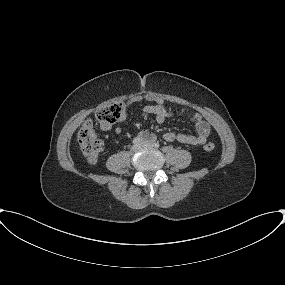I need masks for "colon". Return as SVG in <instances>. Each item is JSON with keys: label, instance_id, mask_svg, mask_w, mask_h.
<instances>
[{"label": "colon", "instance_id": "obj_1", "mask_svg": "<svg viewBox=\"0 0 285 285\" xmlns=\"http://www.w3.org/2000/svg\"><path fill=\"white\" fill-rule=\"evenodd\" d=\"M125 111V106L122 103H112L100 108L96 112V119L102 125H111L119 121ZM78 147L89 164H96L102 151L103 142L98 137L94 123L91 119L85 121L80 128L77 135ZM215 145L212 142H208L204 145V149L208 152L213 151Z\"/></svg>", "mask_w": 285, "mask_h": 285}]
</instances>
